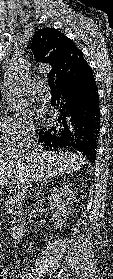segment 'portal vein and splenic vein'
I'll use <instances>...</instances> for the list:
<instances>
[{"label": "portal vein and splenic vein", "instance_id": "portal-vein-and-splenic-vein-1", "mask_svg": "<svg viewBox=\"0 0 113 279\" xmlns=\"http://www.w3.org/2000/svg\"><path fill=\"white\" fill-rule=\"evenodd\" d=\"M17 191L18 193H20L21 195H23L25 189H26V186H23V185H18L17 187Z\"/></svg>", "mask_w": 113, "mask_h": 279}]
</instances>
